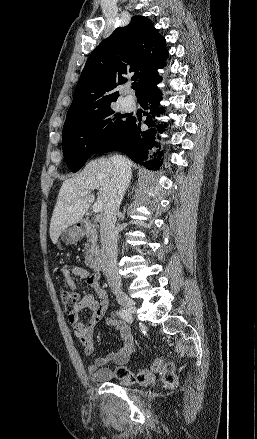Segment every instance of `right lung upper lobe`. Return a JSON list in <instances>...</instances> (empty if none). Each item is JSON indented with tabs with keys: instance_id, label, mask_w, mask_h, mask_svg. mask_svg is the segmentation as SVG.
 <instances>
[{
	"instance_id": "right-lung-upper-lobe-1",
	"label": "right lung upper lobe",
	"mask_w": 257,
	"mask_h": 439,
	"mask_svg": "<svg viewBox=\"0 0 257 439\" xmlns=\"http://www.w3.org/2000/svg\"><path fill=\"white\" fill-rule=\"evenodd\" d=\"M166 40L149 19L134 16L129 25L117 28L91 53L75 88L65 122L108 107L116 101L113 89L127 81H139V99L159 77L157 69L166 64Z\"/></svg>"
}]
</instances>
